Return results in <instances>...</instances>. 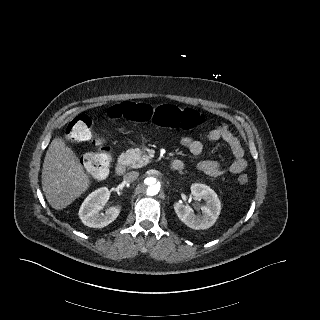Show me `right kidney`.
Masks as SVG:
<instances>
[{"instance_id":"obj_1","label":"right kidney","mask_w":320,"mask_h":320,"mask_svg":"<svg viewBox=\"0 0 320 320\" xmlns=\"http://www.w3.org/2000/svg\"><path fill=\"white\" fill-rule=\"evenodd\" d=\"M109 195L108 188L102 187L86 197L79 209V217L84 225L92 228H103L118 217L121 206L110 207L104 214L100 213L107 203Z\"/></svg>"}]
</instances>
